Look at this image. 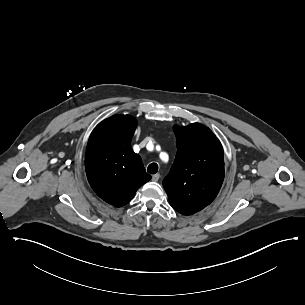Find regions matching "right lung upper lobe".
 Wrapping results in <instances>:
<instances>
[{
    "instance_id": "obj_1",
    "label": "right lung upper lobe",
    "mask_w": 305,
    "mask_h": 305,
    "mask_svg": "<svg viewBox=\"0 0 305 305\" xmlns=\"http://www.w3.org/2000/svg\"><path fill=\"white\" fill-rule=\"evenodd\" d=\"M136 126L130 115H114L95 127L87 145L88 181L101 199L116 207L130 202L137 189L151 179L131 148Z\"/></svg>"
}]
</instances>
